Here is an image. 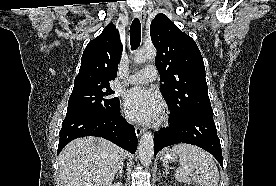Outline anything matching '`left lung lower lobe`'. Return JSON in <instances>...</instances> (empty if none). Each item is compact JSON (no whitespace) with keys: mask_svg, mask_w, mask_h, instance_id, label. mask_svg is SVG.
<instances>
[{"mask_svg":"<svg viewBox=\"0 0 276 186\" xmlns=\"http://www.w3.org/2000/svg\"><path fill=\"white\" fill-rule=\"evenodd\" d=\"M187 143L211 153L223 168L220 140L213 111L198 112L181 118L171 117L169 126L154 135V155L164 147Z\"/></svg>","mask_w":276,"mask_h":186,"instance_id":"obj_1","label":"left lung lower lobe"}]
</instances>
